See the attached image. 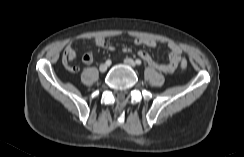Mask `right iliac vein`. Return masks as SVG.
Returning a JSON list of instances; mask_svg holds the SVG:
<instances>
[{
  "label": "right iliac vein",
  "mask_w": 244,
  "mask_h": 157,
  "mask_svg": "<svg viewBox=\"0 0 244 157\" xmlns=\"http://www.w3.org/2000/svg\"><path fill=\"white\" fill-rule=\"evenodd\" d=\"M107 68H108V65L107 64H101L99 66L100 72H105L107 70Z\"/></svg>",
  "instance_id": "obj_1"
}]
</instances>
